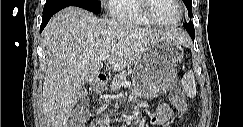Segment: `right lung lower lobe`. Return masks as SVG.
<instances>
[{
	"label": "right lung lower lobe",
	"instance_id": "1",
	"mask_svg": "<svg viewBox=\"0 0 243 127\" xmlns=\"http://www.w3.org/2000/svg\"><path fill=\"white\" fill-rule=\"evenodd\" d=\"M65 7H60V8H55V9H51V10H47V11H43V17H42V24L40 27V32L44 29V27L47 25L48 21L50 20V18L58 11H60L61 9H63Z\"/></svg>",
	"mask_w": 243,
	"mask_h": 127
}]
</instances>
